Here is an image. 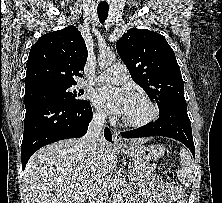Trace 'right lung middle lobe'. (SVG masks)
Listing matches in <instances>:
<instances>
[{
  "mask_svg": "<svg viewBox=\"0 0 222 203\" xmlns=\"http://www.w3.org/2000/svg\"><path fill=\"white\" fill-rule=\"evenodd\" d=\"M71 86L46 87L25 92V107L43 102H54L65 105H78L87 101L78 98L83 92H72Z\"/></svg>",
  "mask_w": 222,
  "mask_h": 203,
  "instance_id": "right-lung-middle-lobe-1",
  "label": "right lung middle lobe"
}]
</instances>
